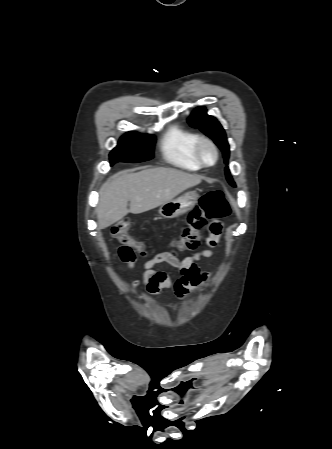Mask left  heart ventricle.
<instances>
[{"label": "left heart ventricle", "mask_w": 332, "mask_h": 449, "mask_svg": "<svg viewBox=\"0 0 332 449\" xmlns=\"http://www.w3.org/2000/svg\"><path fill=\"white\" fill-rule=\"evenodd\" d=\"M202 154L207 161H211L213 158L212 151L208 147L202 149Z\"/></svg>", "instance_id": "obj_1"}]
</instances>
